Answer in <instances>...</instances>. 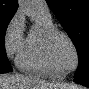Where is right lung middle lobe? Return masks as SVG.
Listing matches in <instances>:
<instances>
[{"label": "right lung middle lobe", "mask_w": 89, "mask_h": 89, "mask_svg": "<svg viewBox=\"0 0 89 89\" xmlns=\"http://www.w3.org/2000/svg\"><path fill=\"white\" fill-rule=\"evenodd\" d=\"M13 15L0 14V73L12 71V67L5 51V33Z\"/></svg>", "instance_id": "1"}]
</instances>
